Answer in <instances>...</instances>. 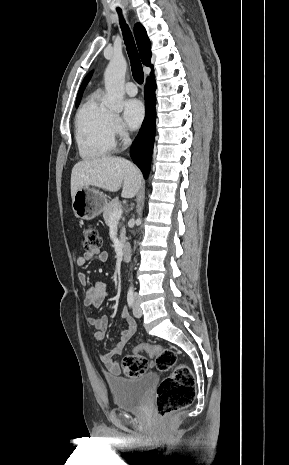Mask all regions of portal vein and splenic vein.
Returning <instances> with one entry per match:
<instances>
[{"instance_id": "1", "label": "portal vein and splenic vein", "mask_w": 289, "mask_h": 465, "mask_svg": "<svg viewBox=\"0 0 289 465\" xmlns=\"http://www.w3.org/2000/svg\"><path fill=\"white\" fill-rule=\"evenodd\" d=\"M122 213H123L122 209L113 211V213L111 214V222H116L120 220Z\"/></svg>"}]
</instances>
